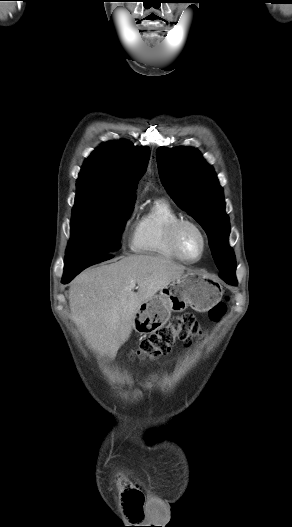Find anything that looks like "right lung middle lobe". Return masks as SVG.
I'll use <instances>...</instances> for the list:
<instances>
[{"label":"right lung middle lobe","instance_id":"1","mask_svg":"<svg viewBox=\"0 0 292 527\" xmlns=\"http://www.w3.org/2000/svg\"><path fill=\"white\" fill-rule=\"evenodd\" d=\"M134 201H112L92 191H77L66 257L117 251ZM65 257V258H66Z\"/></svg>","mask_w":292,"mask_h":527}]
</instances>
